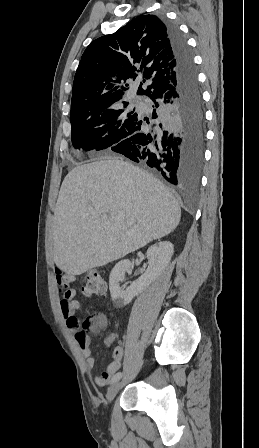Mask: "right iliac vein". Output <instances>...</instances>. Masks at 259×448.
Instances as JSON below:
<instances>
[{
	"instance_id": "1",
	"label": "right iliac vein",
	"mask_w": 259,
	"mask_h": 448,
	"mask_svg": "<svg viewBox=\"0 0 259 448\" xmlns=\"http://www.w3.org/2000/svg\"><path fill=\"white\" fill-rule=\"evenodd\" d=\"M121 387V383L120 382H115L109 389L107 392V401L108 403H110L115 396L117 395V393L119 392Z\"/></svg>"
}]
</instances>
